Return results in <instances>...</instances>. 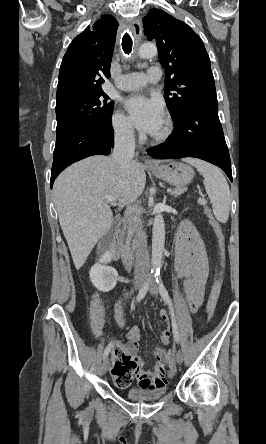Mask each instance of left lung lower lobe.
<instances>
[{
	"label": "left lung lower lobe",
	"instance_id": "1",
	"mask_svg": "<svg viewBox=\"0 0 266 444\" xmlns=\"http://www.w3.org/2000/svg\"><path fill=\"white\" fill-rule=\"evenodd\" d=\"M172 137L149 152L156 159L196 157L220 167L232 181L231 161L218 117V103L195 105L173 120Z\"/></svg>",
	"mask_w": 266,
	"mask_h": 444
}]
</instances>
